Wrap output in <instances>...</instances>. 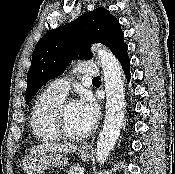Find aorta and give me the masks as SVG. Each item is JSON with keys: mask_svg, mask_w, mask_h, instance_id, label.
<instances>
[{"mask_svg": "<svg viewBox=\"0 0 175 174\" xmlns=\"http://www.w3.org/2000/svg\"><path fill=\"white\" fill-rule=\"evenodd\" d=\"M95 51L103 69L106 92L105 120L97 140V161L103 164L120 135L126 102L120 62L105 47L97 45Z\"/></svg>", "mask_w": 175, "mask_h": 174, "instance_id": "762f6f07", "label": "aorta"}]
</instances>
